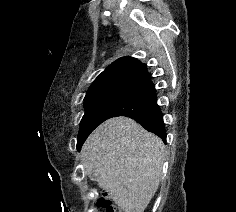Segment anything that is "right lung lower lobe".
I'll return each instance as SVG.
<instances>
[{
	"label": "right lung lower lobe",
	"mask_w": 236,
	"mask_h": 212,
	"mask_svg": "<svg viewBox=\"0 0 236 212\" xmlns=\"http://www.w3.org/2000/svg\"><path fill=\"white\" fill-rule=\"evenodd\" d=\"M116 116L134 119L146 130L156 134L166 142L163 114L157 104L156 90L150 75L142 79L130 91L128 97L117 107L110 118Z\"/></svg>",
	"instance_id": "1"
}]
</instances>
